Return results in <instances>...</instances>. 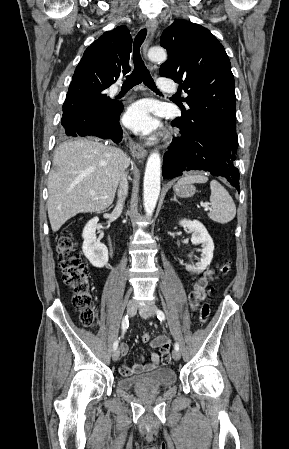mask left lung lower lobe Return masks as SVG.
<instances>
[{
	"mask_svg": "<svg viewBox=\"0 0 289 449\" xmlns=\"http://www.w3.org/2000/svg\"><path fill=\"white\" fill-rule=\"evenodd\" d=\"M172 126L180 129L163 158V178L182 175L183 171L204 170L214 176L225 177L238 192L239 170L234 164L238 147L236 132L222 125L208 122L191 126L175 119Z\"/></svg>",
	"mask_w": 289,
	"mask_h": 449,
	"instance_id": "1",
	"label": "left lung lower lobe"
}]
</instances>
